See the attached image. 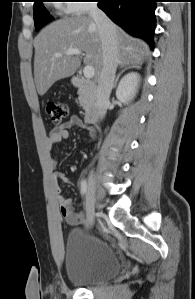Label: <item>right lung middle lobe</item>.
I'll list each match as a JSON object with an SVG mask.
<instances>
[{
	"label": "right lung middle lobe",
	"instance_id": "obj_1",
	"mask_svg": "<svg viewBox=\"0 0 195 299\" xmlns=\"http://www.w3.org/2000/svg\"><path fill=\"white\" fill-rule=\"evenodd\" d=\"M42 2L43 0H34V22L37 31L52 20Z\"/></svg>",
	"mask_w": 195,
	"mask_h": 299
}]
</instances>
